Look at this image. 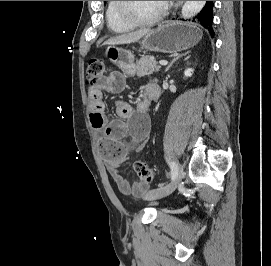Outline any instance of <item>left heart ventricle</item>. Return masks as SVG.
<instances>
[{
  "mask_svg": "<svg viewBox=\"0 0 271 266\" xmlns=\"http://www.w3.org/2000/svg\"><path fill=\"white\" fill-rule=\"evenodd\" d=\"M162 8V1H128L129 11L139 19H148Z\"/></svg>",
  "mask_w": 271,
  "mask_h": 266,
  "instance_id": "obj_1",
  "label": "left heart ventricle"
}]
</instances>
